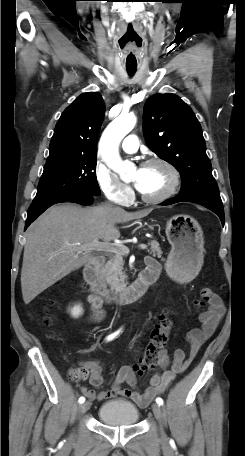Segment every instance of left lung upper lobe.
Listing matches in <instances>:
<instances>
[{
  "label": "left lung upper lobe",
  "instance_id": "1",
  "mask_svg": "<svg viewBox=\"0 0 245 456\" xmlns=\"http://www.w3.org/2000/svg\"><path fill=\"white\" fill-rule=\"evenodd\" d=\"M144 137L153 152L181 173L179 198L222 206L200 123L180 97L156 94L146 101Z\"/></svg>",
  "mask_w": 245,
  "mask_h": 456
}]
</instances>
